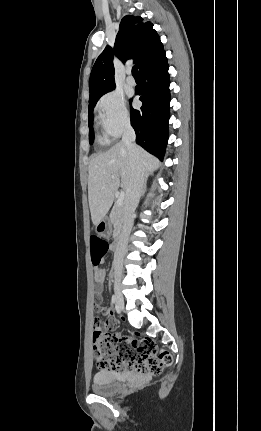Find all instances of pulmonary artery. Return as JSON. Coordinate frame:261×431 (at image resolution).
Here are the masks:
<instances>
[{
  "label": "pulmonary artery",
  "mask_w": 261,
  "mask_h": 431,
  "mask_svg": "<svg viewBox=\"0 0 261 431\" xmlns=\"http://www.w3.org/2000/svg\"><path fill=\"white\" fill-rule=\"evenodd\" d=\"M128 77L126 79L127 83L131 86L135 85V79L133 78V76L131 75V71H128Z\"/></svg>",
  "instance_id": "1"
}]
</instances>
